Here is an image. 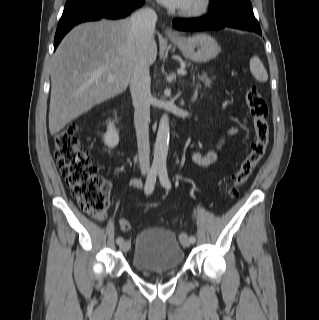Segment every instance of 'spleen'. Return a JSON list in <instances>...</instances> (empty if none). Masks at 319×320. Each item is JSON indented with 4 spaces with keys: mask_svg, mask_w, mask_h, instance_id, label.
Returning a JSON list of instances; mask_svg holds the SVG:
<instances>
[{
    "mask_svg": "<svg viewBox=\"0 0 319 320\" xmlns=\"http://www.w3.org/2000/svg\"><path fill=\"white\" fill-rule=\"evenodd\" d=\"M249 66L251 73L257 81L266 82L268 80L267 71L258 57H252Z\"/></svg>",
    "mask_w": 319,
    "mask_h": 320,
    "instance_id": "obj_1",
    "label": "spleen"
}]
</instances>
